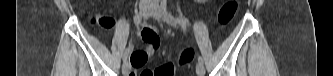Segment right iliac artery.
<instances>
[{
    "mask_svg": "<svg viewBox=\"0 0 333 76\" xmlns=\"http://www.w3.org/2000/svg\"><path fill=\"white\" fill-rule=\"evenodd\" d=\"M134 22H135V24L137 25V27H139V25L141 24V14H137V15H135V17H134ZM131 49H132V46H129V47L126 49L125 53H124L123 60H124L125 62H126V60H127V58H128V55H129V52H130Z\"/></svg>",
    "mask_w": 333,
    "mask_h": 76,
    "instance_id": "82829eb1",
    "label": "right iliac artery"
}]
</instances>
